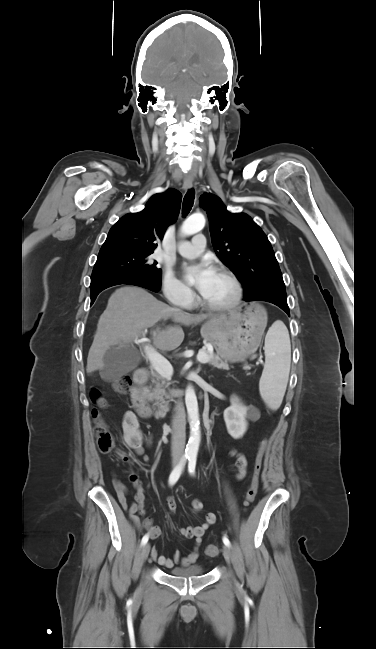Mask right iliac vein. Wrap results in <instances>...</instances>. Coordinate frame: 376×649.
Listing matches in <instances>:
<instances>
[{
  "instance_id": "obj_1",
  "label": "right iliac vein",
  "mask_w": 376,
  "mask_h": 649,
  "mask_svg": "<svg viewBox=\"0 0 376 649\" xmlns=\"http://www.w3.org/2000/svg\"><path fill=\"white\" fill-rule=\"evenodd\" d=\"M176 463H177V462L175 461V462L173 463V465H176ZM149 552H150V545H149V544H145V545L143 546V548H142V550H141V554H140V558H141V562H142V563H144V562L146 561V559H147V557H148V555H149Z\"/></svg>"
}]
</instances>
